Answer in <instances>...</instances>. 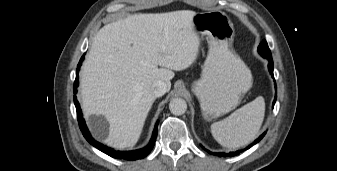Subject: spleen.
<instances>
[{
	"instance_id": "3e777b00",
	"label": "spleen",
	"mask_w": 337,
	"mask_h": 171,
	"mask_svg": "<svg viewBox=\"0 0 337 171\" xmlns=\"http://www.w3.org/2000/svg\"><path fill=\"white\" fill-rule=\"evenodd\" d=\"M265 101L258 96L234 111L229 117L211 125L214 139L222 146L238 148L253 141L262 125Z\"/></svg>"
}]
</instances>
